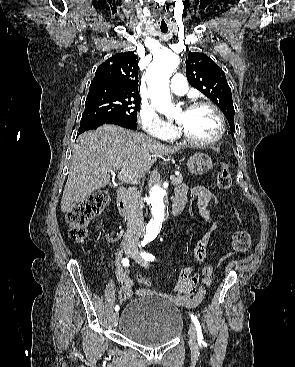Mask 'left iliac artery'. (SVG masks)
<instances>
[{
	"instance_id": "44dca946",
	"label": "left iliac artery",
	"mask_w": 295,
	"mask_h": 367,
	"mask_svg": "<svg viewBox=\"0 0 295 367\" xmlns=\"http://www.w3.org/2000/svg\"><path fill=\"white\" fill-rule=\"evenodd\" d=\"M141 256L146 261H154L155 260V256H153L152 254H150L148 252H145V251L141 252ZM190 317H191V320L193 321V323L196 327L199 345L206 346V343L203 340L202 330H201V326H200V323H199L198 319L193 314H190Z\"/></svg>"
}]
</instances>
